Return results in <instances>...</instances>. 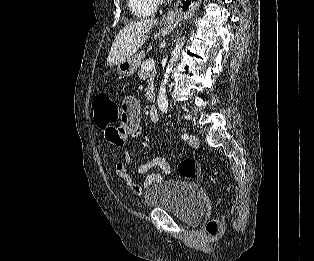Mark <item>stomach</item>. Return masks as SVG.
Instances as JSON below:
<instances>
[{
  "mask_svg": "<svg viewBox=\"0 0 314 261\" xmlns=\"http://www.w3.org/2000/svg\"><path fill=\"white\" fill-rule=\"evenodd\" d=\"M143 57V52H140L119 63L117 65L118 74L122 77H128L133 75L136 72Z\"/></svg>",
  "mask_w": 314,
  "mask_h": 261,
  "instance_id": "1",
  "label": "stomach"
}]
</instances>
